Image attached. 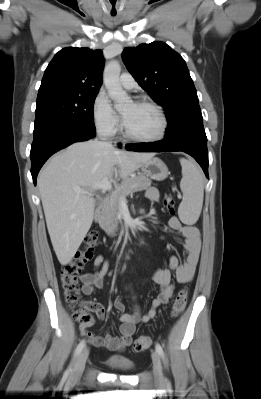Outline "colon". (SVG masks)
<instances>
[{
  "label": "colon",
  "mask_w": 261,
  "mask_h": 399,
  "mask_svg": "<svg viewBox=\"0 0 261 399\" xmlns=\"http://www.w3.org/2000/svg\"><path fill=\"white\" fill-rule=\"evenodd\" d=\"M164 205L171 213L174 212V200L167 194L164 197ZM98 243V234L88 233L83 241V247L69 262L65 263L60 271L62 292L68 305L73 309V317L81 327H87L92 323L90 305L83 304L80 300V285L78 275L82 268L91 260L94 248ZM187 293L182 290L176 296L172 306V316H179L186 307ZM151 346V339L146 336L138 337L134 342V350L137 352L148 349Z\"/></svg>",
  "instance_id": "colon-1"
}]
</instances>
